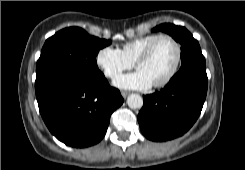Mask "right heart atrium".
Returning <instances> with one entry per match:
<instances>
[{"mask_svg":"<svg viewBox=\"0 0 245 170\" xmlns=\"http://www.w3.org/2000/svg\"><path fill=\"white\" fill-rule=\"evenodd\" d=\"M96 63L103 70L105 76L110 78L133 67V62L124 55L122 50L111 46L103 47L98 51Z\"/></svg>","mask_w":245,"mask_h":170,"instance_id":"obj_1","label":"right heart atrium"}]
</instances>
